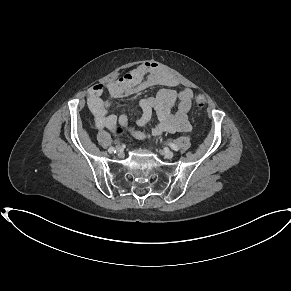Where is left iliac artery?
I'll use <instances>...</instances> for the list:
<instances>
[{
  "mask_svg": "<svg viewBox=\"0 0 291 291\" xmlns=\"http://www.w3.org/2000/svg\"><path fill=\"white\" fill-rule=\"evenodd\" d=\"M169 146L171 147V149H173L174 151H178L179 150V147L174 144V143H169Z\"/></svg>",
  "mask_w": 291,
  "mask_h": 291,
  "instance_id": "1",
  "label": "left iliac artery"
}]
</instances>
